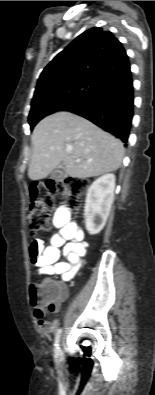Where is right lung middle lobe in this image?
Returning <instances> with one entry per match:
<instances>
[{"label":"right lung middle lobe","mask_w":155,"mask_h":395,"mask_svg":"<svg viewBox=\"0 0 155 395\" xmlns=\"http://www.w3.org/2000/svg\"><path fill=\"white\" fill-rule=\"evenodd\" d=\"M100 82L92 80H74L52 85L34 94L29 124L31 129L45 116L64 110L95 91Z\"/></svg>","instance_id":"right-lung-middle-lobe-1"}]
</instances>
